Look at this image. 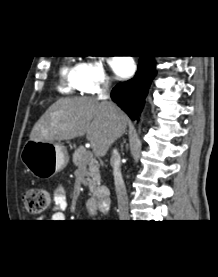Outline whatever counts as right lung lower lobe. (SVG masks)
Listing matches in <instances>:
<instances>
[{"label": "right lung lower lobe", "mask_w": 218, "mask_h": 277, "mask_svg": "<svg viewBox=\"0 0 218 277\" xmlns=\"http://www.w3.org/2000/svg\"><path fill=\"white\" fill-rule=\"evenodd\" d=\"M140 57L138 70L134 78L118 84L111 92L112 99L132 120L138 119L151 81L156 74L153 56Z\"/></svg>", "instance_id": "obj_1"}]
</instances>
